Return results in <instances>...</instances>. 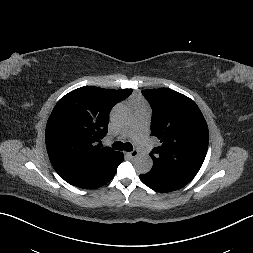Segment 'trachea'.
I'll return each instance as SVG.
<instances>
[{
    "mask_svg": "<svg viewBox=\"0 0 253 253\" xmlns=\"http://www.w3.org/2000/svg\"><path fill=\"white\" fill-rule=\"evenodd\" d=\"M112 147L116 150H125V151H132L133 150V146L131 143L127 142V143H123L121 141H117L115 142Z\"/></svg>",
    "mask_w": 253,
    "mask_h": 253,
    "instance_id": "obj_1",
    "label": "trachea"
}]
</instances>
